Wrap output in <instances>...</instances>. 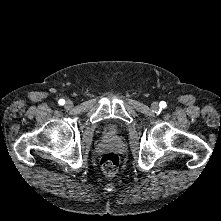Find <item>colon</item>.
Returning <instances> with one entry per match:
<instances>
[{"mask_svg": "<svg viewBox=\"0 0 221 221\" xmlns=\"http://www.w3.org/2000/svg\"><path fill=\"white\" fill-rule=\"evenodd\" d=\"M119 165L120 160L114 153H106L100 161L101 170L108 178L113 177L117 173Z\"/></svg>", "mask_w": 221, "mask_h": 221, "instance_id": "obj_1", "label": "colon"}]
</instances>
